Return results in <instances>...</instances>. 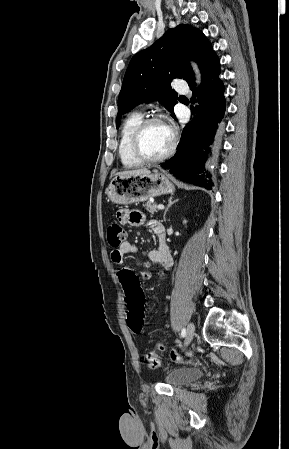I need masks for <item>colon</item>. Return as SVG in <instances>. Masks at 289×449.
<instances>
[{"label": "colon", "mask_w": 289, "mask_h": 449, "mask_svg": "<svg viewBox=\"0 0 289 449\" xmlns=\"http://www.w3.org/2000/svg\"><path fill=\"white\" fill-rule=\"evenodd\" d=\"M125 239V229L119 223L111 222L107 227L109 245L113 248H118L124 243ZM117 273L120 285H123V289L126 292L129 309L128 325L134 333H142L144 331V295L138 277L132 268H119ZM162 350H164V345L158 342L154 351L144 354V363L150 368L159 366L160 361L157 352Z\"/></svg>", "instance_id": "5ec220e1"}]
</instances>
